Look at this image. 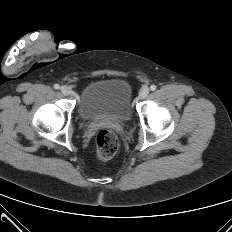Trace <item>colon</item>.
Here are the masks:
<instances>
[{"mask_svg":"<svg viewBox=\"0 0 232 232\" xmlns=\"http://www.w3.org/2000/svg\"><path fill=\"white\" fill-rule=\"evenodd\" d=\"M97 155L102 160L112 158L118 150V137L110 129H102L96 136Z\"/></svg>","mask_w":232,"mask_h":232,"instance_id":"5ec220e1","label":"colon"}]
</instances>
